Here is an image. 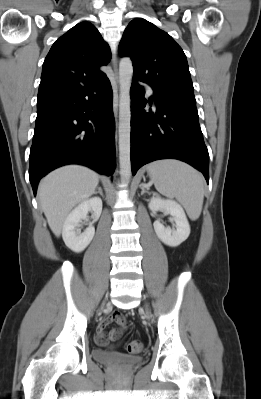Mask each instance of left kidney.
<instances>
[{
  "label": "left kidney",
  "instance_id": "left-kidney-1",
  "mask_svg": "<svg viewBox=\"0 0 261 399\" xmlns=\"http://www.w3.org/2000/svg\"><path fill=\"white\" fill-rule=\"evenodd\" d=\"M148 206L152 211L170 214L175 222L176 229L165 227L159 220L153 223L156 235L165 245L177 247L189 237L190 225L180 204L172 199L152 197Z\"/></svg>",
  "mask_w": 261,
  "mask_h": 399
}]
</instances>
